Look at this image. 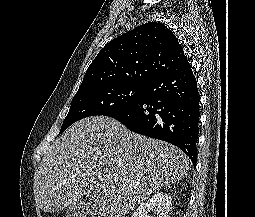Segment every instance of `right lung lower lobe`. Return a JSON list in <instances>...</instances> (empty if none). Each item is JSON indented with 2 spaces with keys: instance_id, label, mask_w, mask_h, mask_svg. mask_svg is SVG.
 Segmentation results:
<instances>
[{
  "instance_id": "right-lung-lower-lobe-1",
  "label": "right lung lower lobe",
  "mask_w": 255,
  "mask_h": 217,
  "mask_svg": "<svg viewBox=\"0 0 255 217\" xmlns=\"http://www.w3.org/2000/svg\"><path fill=\"white\" fill-rule=\"evenodd\" d=\"M197 80L190 63L146 86L142 95L124 109L107 113L129 130L178 146L197 162L199 133Z\"/></svg>"
}]
</instances>
